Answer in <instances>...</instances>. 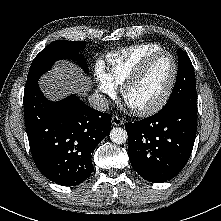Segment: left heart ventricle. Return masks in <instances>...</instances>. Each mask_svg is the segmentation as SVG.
<instances>
[{
	"label": "left heart ventricle",
	"instance_id": "obj_1",
	"mask_svg": "<svg viewBox=\"0 0 221 221\" xmlns=\"http://www.w3.org/2000/svg\"><path fill=\"white\" fill-rule=\"evenodd\" d=\"M173 72V63L168 56L155 59L147 70L127 91L125 101L133 109L151 105L166 89Z\"/></svg>",
	"mask_w": 221,
	"mask_h": 221
}]
</instances>
